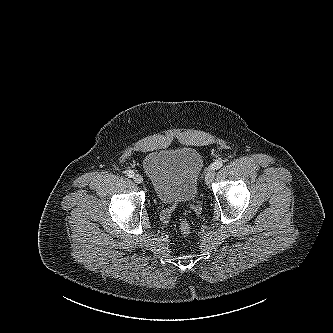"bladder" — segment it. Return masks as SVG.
I'll use <instances>...</instances> for the list:
<instances>
[{
    "label": "bladder",
    "instance_id": "bladder-1",
    "mask_svg": "<svg viewBox=\"0 0 333 333\" xmlns=\"http://www.w3.org/2000/svg\"><path fill=\"white\" fill-rule=\"evenodd\" d=\"M142 164L161 202L183 203L197 197L204 161L196 149L181 147L155 150L144 157Z\"/></svg>",
    "mask_w": 333,
    "mask_h": 333
}]
</instances>
